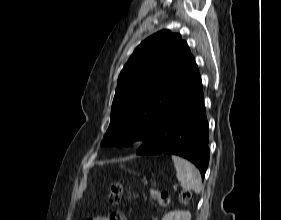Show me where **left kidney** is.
Listing matches in <instances>:
<instances>
[{
	"instance_id": "obj_1",
	"label": "left kidney",
	"mask_w": 281,
	"mask_h": 220,
	"mask_svg": "<svg viewBox=\"0 0 281 220\" xmlns=\"http://www.w3.org/2000/svg\"><path fill=\"white\" fill-rule=\"evenodd\" d=\"M191 214L189 211H171L167 213L162 220H190Z\"/></svg>"
}]
</instances>
